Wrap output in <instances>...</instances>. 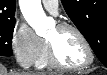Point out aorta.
Wrapping results in <instances>:
<instances>
[{
  "mask_svg": "<svg viewBox=\"0 0 107 75\" xmlns=\"http://www.w3.org/2000/svg\"><path fill=\"white\" fill-rule=\"evenodd\" d=\"M21 12L27 23L39 36H45L49 28V20L46 17L41 0H20Z\"/></svg>",
  "mask_w": 107,
  "mask_h": 75,
  "instance_id": "762f6f07",
  "label": "aorta"
}]
</instances>
